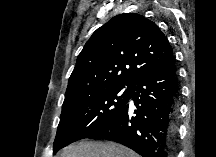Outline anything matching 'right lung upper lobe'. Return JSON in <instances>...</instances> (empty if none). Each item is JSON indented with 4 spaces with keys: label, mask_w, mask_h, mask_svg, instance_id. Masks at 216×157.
<instances>
[{
    "label": "right lung upper lobe",
    "mask_w": 216,
    "mask_h": 157,
    "mask_svg": "<svg viewBox=\"0 0 216 157\" xmlns=\"http://www.w3.org/2000/svg\"><path fill=\"white\" fill-rule=\"evenodd\" d=\"M171 54L154 22L135 13L117 15L93 33L78 55L63 106L88 91L132 85Z\"/></svg>",
    "instance_id": "obj_1"
}]
</instances>
